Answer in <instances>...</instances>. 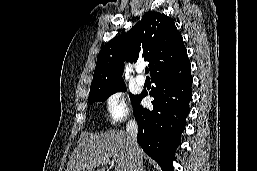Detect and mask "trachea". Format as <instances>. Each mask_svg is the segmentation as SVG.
Returning a JSON list of instances; mask_svg holds the SVG:
<instances>
[{
  "instance_id": "3493384b",
  "label": "trachea",
  "mask_w": 257,
  "mask_h": 171,
  "mask_svg": "<svg viewBox=\"0 0 257 171\" xmlns=\"http://www.w3.org/2000/svg\"><path fill=\"white\" fill-rule=\"evenodd\" d=\"M145 73L148 74L149 73V69L145 68Z\"/></svg>"
}]
</instances>
